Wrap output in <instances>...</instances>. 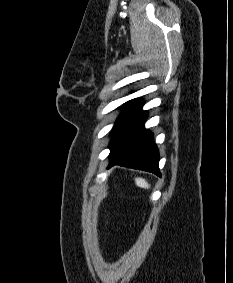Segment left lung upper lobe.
Here are the masks:
<instances>
[{"label":"left lung upper lobe","instance_id":"1","mask_svg":"<svg viewBox=\"0 0 233 283\" xmlns=\"http://www.w3.org/2000/svg\"><path fill=\"white\" fill-rule=\"evenodd\" d=\"M137 99L130 100L126 103H124L122 106L126 109L122 115L119 117V119L116 121L114 128L118 125L120 120L124 117V115L135 105Z\"/></svg>","mask_w":233,"mask_h":283}]
</instances>
